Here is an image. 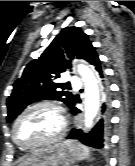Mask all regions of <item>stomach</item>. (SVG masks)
I'll list each match as a JSON object with an SVG mask.
<instances>
[{
	"label": "stomach",
	"mask_w": 135,
	"mask_h": 166,
	"mask_svg": "<svg viewBox=\"0 0 135 166\" xmlns=\"http://www.w3.org/2000/svg\"><path fill=\"white\" fill-rule=\"evenodd\" d=\"M76 145L66 142L49 145L34 151L23 166H72L77 160Z\"/></svg>",
	"instance_id": "0dacf381"
}]
</instances>
